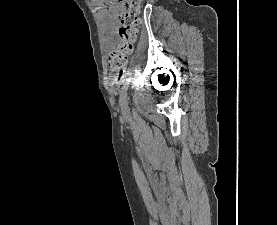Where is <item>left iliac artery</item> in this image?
<instances>
[{
  "instance_id": "44dca946",
  "label": "left iliac artery",
  "mask_w": 277,
  "mask_h": 225,
  "mask_svg": "<svg viewBox=\"0 0 277 225\" xmlns=\"http://www.w3.org/2000/svg\"><path fill=\"white\" fill-rule=\"evenodd\" d=\"M131 81H132L131 77H128L124 80L123 86H122L121 91H120V101H121L122 97L125 94H127V90H128V87H129V84L131 83Z\"/></svg>"
}]
</instances>
